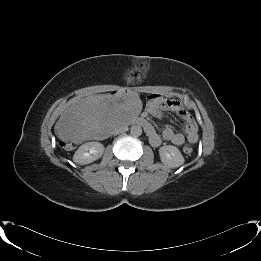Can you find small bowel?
<instances>
[{"label": "small bowel", "instance_id": "small-bowel-1", "mask_svg": "<svg viewBox=\"0 0 261 261\" xmlns=\"http://www.w3.org/2000/svg\"><path fill=\"white\" fill-rule=\"evenodd\" d=\"M163 109L176 113L184 122L185 128V134H183L175 132L171 127H166L162 132L163 139L177 146L183 145L185 142L189 144L196 143L198 140V126L185 107L169 95H153L148 107V114L155 118H162L164 115ZM148 136L152 145L158 146L161 143V138L154 128Z\"/></svg>", "mask_w": 261, "mask_h": 261}]
</instances>
